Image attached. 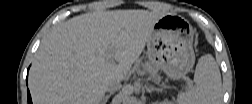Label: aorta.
Instances as JSON below:
<instances>
[{
  "label": "aorta",
  "mask_w": 252,
  "mask_h": 104,
  "mask_svg": "<svg viewBox=\"0 0 252 104\" xmlns=\"http://www.w3.org/2000/svg\"><path fill=\"white\" fill-rule=\"evenodd\" d=\"M134 101H135V98L131 97L129 94H125L123 96V103L124 104H132V103H134Z\"/></svg>",
  "instance_id": "762f6f07"
}]
</instances>
